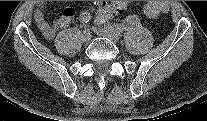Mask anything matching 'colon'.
<instances>
[{
	"label": "colon",
	"instance_id": "colon-1",
	"mask_svg": "<svg viewBox=\"0 0 207 121\" xmlns=\"http://www.w3.org/2000/svg\"><path fill=\"white\" fill-rule=\"evenodd\" d=\"M116 7L110 4H102L96 12L98 22H105L114 15ZM168 6L164 2L149 1L144 6V13L151 18L157 17L160 14L166 13Z\"/></svg>",
	"mask_w": 207,
	"mask_h": 121
}]
</instances>
